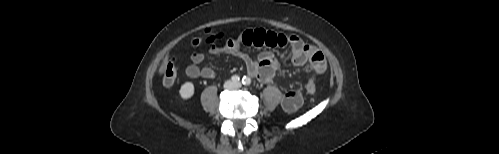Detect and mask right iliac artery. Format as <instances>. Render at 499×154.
Returning <instances> with one entry per match:
<instances>
[{
	"mask_svg": "<svg viewBox=\"0 0 499 154\" xmlns=\"http://www.w3.org/2000/svg\"><path fill=\"white\" fill-rule=\"evenodd\" d=\"M231 79L234 83H238L240 81V77L238 75H233Z\"/></svg>",
	"mask_w": 499,
	"mask_h": 154,
	"instance_id": "obj_1",
	"label": "right iliac artery"
}]
</instances>
